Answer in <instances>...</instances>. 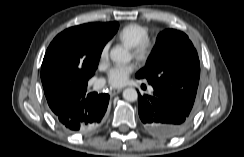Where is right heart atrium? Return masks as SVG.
<instances>
[{
    "label": "right heart atrium",
    "instance_id": "obj_1",
    "mask_svg": "<svg viewBox=\"0 0 244 157\" xmlns=\"http://www.w3.org/2000/svg\"><path fill=\"white\" fill-rule=\"evenodd\" d=\"M109 61V43L105 44L99 54V66L104 67Z\"/></svg>",
    "mask_w": 244,
    "mask_h": 157
}]
</instances>
